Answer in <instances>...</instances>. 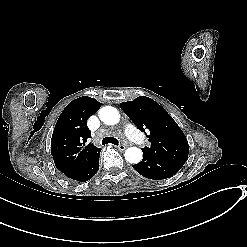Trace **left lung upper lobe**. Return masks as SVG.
I'll use <instances>...</instances> for the list:
<instances>
[{
  "instance_id": "left-lung-upper-lobe-1",
  "label": "left lung upper lobe",
  "mask_w": 247,
  "mask_h": 247,
  "mask_svg": "<svg viewBox=\"0 0 247 247\" xmlns=\"http://www.w3.org/2000/svg\"><path fill=\"white\" fill-rule=\"evenodd\" d=\"M121 109L141 131H148L149 147L143 152L163 157L183 166L188 158L187 139L174 119L157 102L140 96L120 104Z\"/></svg>"
}]
</instances>
